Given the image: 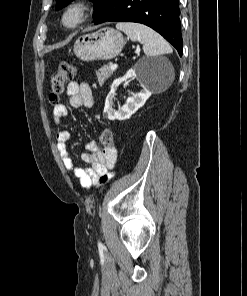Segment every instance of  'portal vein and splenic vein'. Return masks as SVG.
<instances>
[{"mask_svg": "<svg viewBox=\"0 0 247 296\" xmlns=\"http://www.w3.org/2000/svg\"><path fill=\"white\" fill-rule=\"evenodd\" d=\"M117 67H118V64L117 63H111L110 64V69L111 70H115Z\"/></svg>", "mask_w": 247, "mask_h": 296, "instance_id": "portal-vein-and-splenic-vein-1", "label": "portal vein and splenic vein"}]
</instances>
